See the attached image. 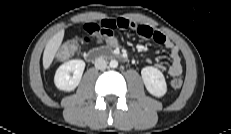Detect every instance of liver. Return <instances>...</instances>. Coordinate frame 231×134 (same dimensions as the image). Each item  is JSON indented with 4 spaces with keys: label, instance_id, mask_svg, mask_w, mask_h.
Here are the masks:
<instances>
[{
    "label": "liver",
    "instance_id": "obj_1",
    "mask_svg": "<svg viewBox=\"0 0 231 134\" xmlns=\"http://www.w3.org/2000/svg\"><path fill=\"white\" fill-rule=\"evenodd\" d=\"M64 38V30H60L56 33L46 44L43 53V67L48 69L59 50Z\"/></svg>",
    "mask_w": 231,
    "mask_h": 134
}]
</instances>
